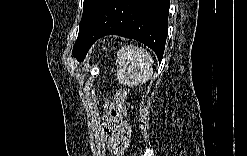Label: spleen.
<instances>
[{
    "instance_id": "obj_1",
    "label": "spleen",
    "mask_w": 247,
    "mask_h": 156,
    "mask_svg": "<svg viewBox=\"0 0 247 156\" xmlns=\"http://www.w3.org/2000/svg\"><path fill=\"white\" fill-rule=\"evenodd\" d=\"M153 58L149 52L137 46H124L117 53V79L120 84L136 86L153 75Z\"/></svg>"
}]
</instances>
